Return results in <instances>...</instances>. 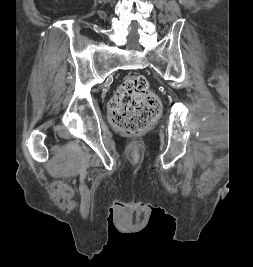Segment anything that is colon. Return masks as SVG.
Returning <instances> with one entry per match:
<instances>
[{"label": "colon", "instance_id": "5ec220e1", "mask_svg": "<svg viewBox=\"0 0 253 267\" xmlns=\"http://www.w3.org/2000/svg\"><path fill=\"white\" fill-rule=\"evenodd\" d=\"M112 125L127 135L142 133L161 111L158 97L141 75L125 78L109 103Z\"/></svg>", "mask_w": 253, "mask_h": 267}]
</instances>
